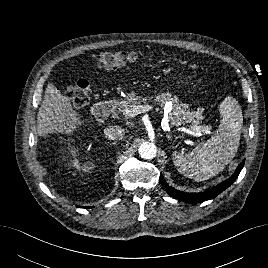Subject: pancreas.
Segmentation results:
<instances>
[{"mask_svg": "<svg viewBox=\"0 0 268 268\" xmlns=\"http://www.w3.org/2000/svg\"><path fill=\"white\" fill-rule=\"evenodd\" d=\"M151 101L152 97L143 98L141 96H137L135 92H132L128 94L124 100L117 101L115 106L119 112L123 113L126 108H129L132 105L140 104L141 102L148 103ZM153 102H157L160 106L171 110L169 115L172 124L180 125L192 123L194 126H196L203 119L201 109L192 111L188 104L179 103L178 97L173 96L169 92L157 94L154 97ZM168 102H171V106L167 104Z\"/></svg>", "mask_w": 268, "mask_h": 268, "instance_id": "pancreas-1", "label": "pancreas"}]
</instances>
